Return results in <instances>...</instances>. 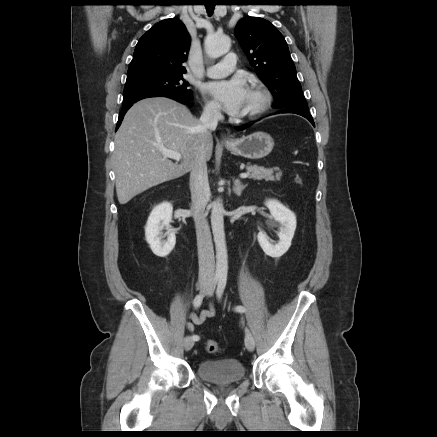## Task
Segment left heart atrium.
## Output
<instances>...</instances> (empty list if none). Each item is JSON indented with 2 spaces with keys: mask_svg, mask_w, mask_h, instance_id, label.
<instances>
[{
  "mask_svg": "<svg viewBox=\"0 0 437 437\" xmlns=\"http://www.w3.org/2000/svg\"><path fill=\"white\" fill-rule=\"evenodd\" d=\"M204 90L230 115L241 113L248 92L244 80L240 78L210 82L205 85Z\"/></svg>",
  "mask_w": 437,
  "mask_h": 437,
  "instance_id": "39dd6f15",
  "label": "left heart atrium"
}]
</instances>
